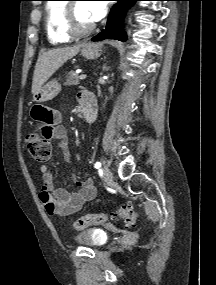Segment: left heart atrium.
I'll use <instances>...</instances> for the list:
<instances>
[{
    "instance_id": "39dd6f15",
    "label": "left heart atrium",
    "mask_w": 216,
    "mask_h": 285,
    "mask_svg": "<svg viewBox=\"0 0 216 285\" xmlns=\"http://www.w3.org/2000/svg\"><path fill=\"white\" fill-rule=\"evenodd\" d=\"M86 11L91 22H97L105 16L107 12V3L105 1L87 2Z\"/></svg>"
}]
</instances>
